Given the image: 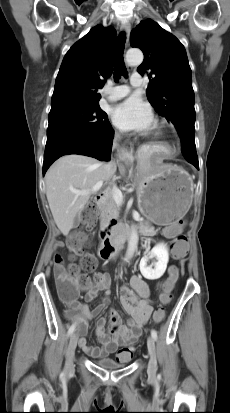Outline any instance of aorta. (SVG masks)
<instances>
[{
	"mask_svg": "<svg viewBox=\"0 0 230 413\" xmlns=\"http://www.w3.org/2000/svg\"><path fill=\"white\" fill-rule=\"evenodd\" d=\"M126 61L131 66L139 65L143 61V53L139 49H129L126 53ZM138 239L137 230L132 226L125 261H129L133 257L137 249Z\"/></svg>",
	"mask_w": 230,
	"mask_h": 413,
	"instance_id": "aorta-1",
	"label": "aorta"
}]
</instances>
